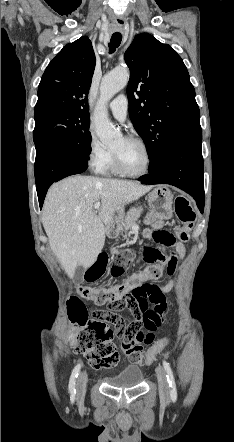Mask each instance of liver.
Returning a JSON list of instances; mask_svg holds the SVG:
<instances>
[{"label": "liver", "instance_id": "liver-1", "mask_svg": "<svg viewBox=\"0 0 234 442\" xmlns=\"http://www.w3.org/2000/svg\"><path fill=\"white\" fill-rule=\"evenodd\" d=\"M152 186L132 181L72 176L53 184L45 198L42 223L50 247L67 275L90 267L102 251L117 207L138 200ZM100 202L98 215L94 204Z\"/></svg>", "mask_w": 234, "mask_h": 442}]
</instances>
